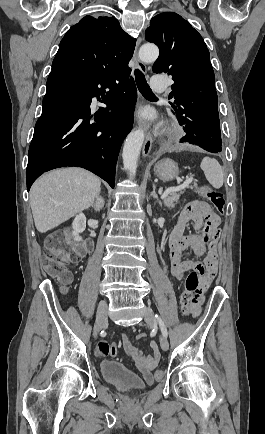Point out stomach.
I'll use <instances>...</instances> for the list:
<instances>
[{
    "instance_id": "0dacf381",
    "label": "stomach",
    "mask_w": 265,
    "mask_h": 434,
    "mask_svg": "<svg viewBox=\"0 0 265 434\" xmlns=\"http://www.w3.org/2000/svg\"><path fill=\"white\" fill-rule=\"evenodd\" d=\"M154 172L157 178H160L163 182H170V180H174L179 174L176 162L170 160V158H164V160L157 162L154 166Z\"/></svg>"
}]
</instances>
